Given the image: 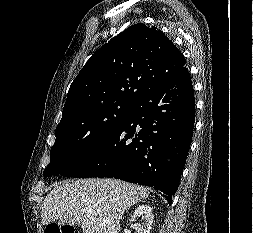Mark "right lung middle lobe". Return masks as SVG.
<instances>
[{
    "label": "right lung middle lobe",
    "instance_id": "right-lung-middle-lobe-1",
    "mask_svg": "<svg viewBox=\"0 0 253 233\" xmlns=\"http://www.w3.org/2000/svg\"><path fill=\"white\" fill-rule=\"evenodd\" d=\"M133 103L131 100H105L62 117L44 177L61 173L98 149L127 119Z\"/></svg>",
    "mask_w": 253,
    "mask_h": 233
}]
</instances>
